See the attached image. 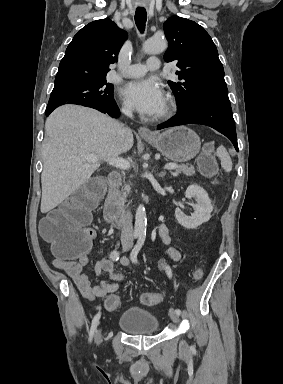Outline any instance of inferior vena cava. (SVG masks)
<instances>
[{"mask_svg": "<svg viewBox=\"0 0 283 384\" xmlns=\"http://www.w3.org/2000/svg\"><path fill=\"white\" fill-rule=\"evenodd\" d=\"M121 112H123L125 116L132 118L131 106H123ZM127 132H129V128H124V124H120L117 136L120 142H125ZM121 244L123 248H132L133 246V226L130 212H126V216L124 218V224L121 232Z\"/></svg>", "mask_w": 283, "mask_h": 384, "instance_id": "obj_1", "label": "inferior vena cava"}]
</instances>
